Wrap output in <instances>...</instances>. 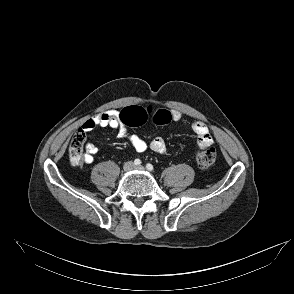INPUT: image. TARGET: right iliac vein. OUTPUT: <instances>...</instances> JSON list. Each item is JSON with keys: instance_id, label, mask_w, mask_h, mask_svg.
Instances as JSON below:
<instances>
[{"instance_id": "right-iliac-vein-1", "label": "right iliac vein", "mask_w": 294, "mask_h": 294, "mask_svg": "<svg viewBox=\"0 0 294 294\" xmlns=\"http://www.w3.org/2000/svg\"><path fill=\"white\" fill-rule=\"evenodd\" d=\"M134 167L133 163L132 162H127L125 165H124V170L125 171H130L132 170Z\"/></svg>"}]
</instances>
